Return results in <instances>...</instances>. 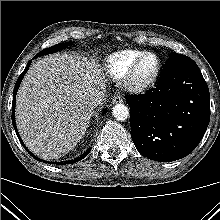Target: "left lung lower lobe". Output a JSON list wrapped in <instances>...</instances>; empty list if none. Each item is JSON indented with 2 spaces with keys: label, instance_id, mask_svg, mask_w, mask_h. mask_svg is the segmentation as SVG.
Listing matches in <instances>:
<instances>
[{
  "label": "left lung lower lobe",
  "instance_id": "1",
  "mask_svg": "<svg viewBox=\"0 0 220 220\" xmlns=\"http://www.w3.org/2000/svg\"><path fill=\"white\" fill-rule=\"evenodd\" d=\"M131 137L136 149L155 161L189 155L204 136L210 120L208 86L189 57L169 58L156 88L126 97Z\"/></svg>",
  "mask_w": 220,
  "mask_h": 220
}]
</instances>
